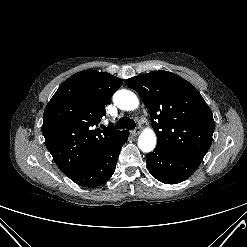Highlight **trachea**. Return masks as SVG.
Here are the masks:
<instances>
[{
	"mask_svg": "<svg viewBox=\"0 0 247 247\" xmlns=\"http://www.w3.org/2000/svg\"><path fill=\"white\" fill-rule=\"evenodd\" d=\"M136 126V123L134 120L128 118V117H122L118 123H117V128L118 129H129V130H133Z\"/></svg>",
	"mask_w": 247,
	"mask_h": 247,
	"instance_id": "1",
	"label": "trachea"
}]
</instances>
